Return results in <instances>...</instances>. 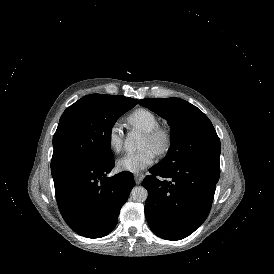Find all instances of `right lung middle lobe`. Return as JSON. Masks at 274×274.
<instances>
[{
    "label": "right lung middle lobe",
    "mask_w": 274,
    "mask_h": 274,
    "mask_svg": "<svg viewBox=\"0 0 274 274\" xmlns=\"http://www.w3.org/2000/svg\"><path fill=\"white\" fill-rule=\"evenodd\" d=\"M137 104L121 95L84 96L62 114L53 137L51 169L76 162L113 159L111 131L117 119Z\"/></svg>",
    "instance_id": "1"
}]
</instances>
